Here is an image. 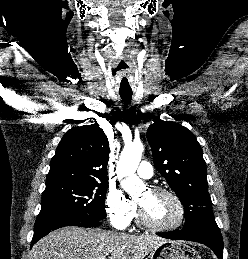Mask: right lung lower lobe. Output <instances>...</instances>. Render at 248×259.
<instances>
[{
  "label": "right lung lower lobe",
  "instance_id": "98d812e1",
  "mask_svg": "<svg viewBox=\"0 0 248 259\" xmlns=\"http://www.w3.org/2000/svg\"><path fill=\"white\" fill-rule=\"evenodd\" d=\"M101 221L88 222L83 221L77 217L62 215V214H44L38 215L34 235L31 241V247L39 239L47 235L49 232L65 226H79V227H98Z\"/></svg>",
  "mask_w": 248,
  "mask_h": 259
}]
</instances>
